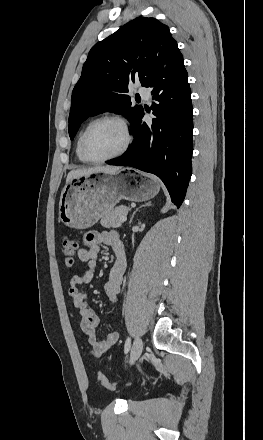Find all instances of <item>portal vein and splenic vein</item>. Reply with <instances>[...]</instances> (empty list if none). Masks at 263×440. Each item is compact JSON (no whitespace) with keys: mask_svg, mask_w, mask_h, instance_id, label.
Returning a JSON list of instances; mask_svg holds the SVG:
<instances>
[{"mask_svg":"<svg viewBox=\"0 0 263 440\" xmlns=\"http://www.w3.org/2000/svg\"><path fill=\"white\" fill-rule=\"evenodd\" d=\"M120 219H121L123 222H125V221L127 220V217H126V215H122V216L120 217Z\"/></svg>","mask_w":263,"mask_h":440,"instance_id":"1","label":"portal vein and splenic vein"}]
</instances>
